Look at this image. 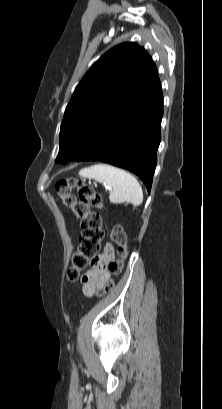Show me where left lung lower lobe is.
Returning a JSON list of instances; mask_svg holds the SVG:
<instances>
[{"label": "left lung lower lobe", "instance_id": "left-lung-lower-lobe-1", "mask_svg": "<svg viewBox=\"0 0 222 409\" xmlns=\"http://www.w3.org/2000/svg\"><path fill=\"white\" fill-rule=\"evenodd\" d=\"M161 88L145 101L127 100L92 138L80 161H101L138 175L151 190L161 140Z\"/></svg>", "mask_w": 222, "mask_h": 409}]
</instances>
